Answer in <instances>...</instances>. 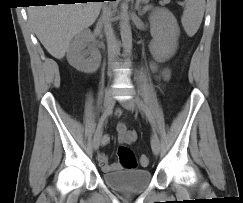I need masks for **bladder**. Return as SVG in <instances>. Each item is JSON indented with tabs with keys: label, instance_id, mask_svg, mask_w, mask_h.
I'll use <instances>...</instances> for the list:
<instances>
[{
	"label": "bladder",
	"instance_id": "31cf9c89",
	"mask_svg": "<svg viewBox=\"0 0 243 203\" xmlns=\"http://www.w3.org/2000/svg\"><path fill=\"white\" fill-rule=\"evenodd\" d=\"M102 179L106 185L123 194L140 193L152 180L148 169H132L105 172Z\"/></svg>",
	"mask_w": 243,
	"mask_h": 203
}]
</instances>
